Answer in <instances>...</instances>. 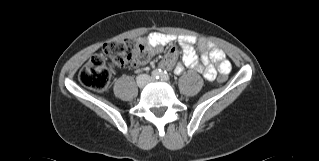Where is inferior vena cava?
Returning a JSON list of instances; mask_svg holds the SVG:
<instances>
[{
  "label": "inferior vena cava",
  "mask_w": 319,
  "mask_h": 161,
  "mask_svg": "<svg viewBox=\"0 0 319 161\" xmlns=\"http://www.w3.org/2000/svg\"><path fill=\"white\" fill-rule=\"evenodd\" d=\"M140 78H146L145 83H147V82L150 81V76L144 74V75L138 76V83H139V79H140Z\"/></svg>",
  "instance_id": "inferior-vena-cava-1"
}]
</instances>
